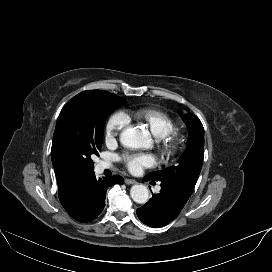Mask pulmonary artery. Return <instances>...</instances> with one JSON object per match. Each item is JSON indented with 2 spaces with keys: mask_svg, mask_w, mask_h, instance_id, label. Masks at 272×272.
<instances>
[{
  "mask_svg": "<svg viewBox=\"0 0 272 272\" xmlns=\"http://www.w3.org/2000/svg\"><path fill=\"white\" fill-rule=\"evenodd\" d=\"M98 167H99L100 170H104V169L109 167V164L102 162V163L99 164ZM157 190H160V187H157Z\"/></svg>",
  "mask_w": 272,
  "mask_h": 272,
  "instance_id": "pulmonary-artery-1",
  "label": "pulmonary artery"
}]
</instances>
